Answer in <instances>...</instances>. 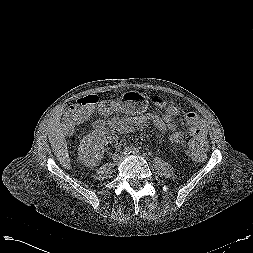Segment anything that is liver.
Returning <instances> with one entry per match:
<instances>
[{
  "label": "liver",
  "mask_w": 253,
  "mask_h": 253,
  "mask_svg": "<svg viewBox=\"0 0 253 253\" xmlns=\"http://www.w3.org/2000/svg\"><path fill=\"white\" fill-rule=\"evenodd\" d=\"M61 109L56 110L47 128L48 138L54 154L60 164L69 169L70 159L67 151V143L60 124Z\"/></svg>",
  "instance_id": "1"
}]
</instances>
